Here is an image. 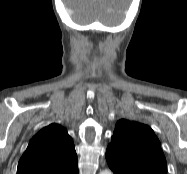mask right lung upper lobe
<instances>
[{
    "label": "right lung upper lobe",
    "instance_id": "cb5924a9",
    "mask_svg": "<svg viewBox=\"0 0 187 174\" xmlns=\"http://www.w3.org/2000/svg\"><path fill=\"white\" fill-rule=\"evenodd\" d=\"M17 174H78L77 155L67 131L57 124L39 131L19 160Z\"/></svg>",
    "mask_w": 187,
    "mask_h": 174
}]
</instances>
